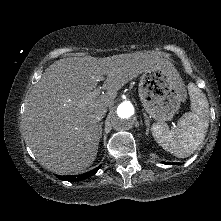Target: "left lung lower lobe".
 <instances>
[{
  "mask_svg": "<svg viewBox=\"0 0 221 221\" xmlns=\"http://www.w3.org/2000/svg\"><path fill=\"white\" fill-rule=\"evenodd\" d=\"M164 164H175V163H165V162H164ZM176 164H179V163H176Z\"/></svg>",
  "mask_w": 221,
  "mask_h": 221,
  "instance_id": "obj_1",
  "label": "left lung lower lobe"
}]
</instances>
